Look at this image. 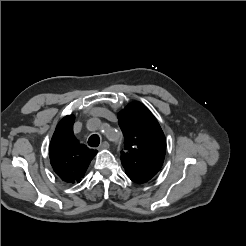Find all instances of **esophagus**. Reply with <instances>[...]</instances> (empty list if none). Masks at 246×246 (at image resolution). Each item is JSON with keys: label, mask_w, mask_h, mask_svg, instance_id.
<instances>
[{"label": "esophagus", "mask_w": 246, "mask_h": 246, "mask_svg": "<svg viewBox=\"0 0 246 246\" xmlns=\"http://www.w3.org/2000/svg\"><path fill=\"white\" fill-rule=\"evenodd\" d=\"M110 144L107 141H104L100 144L99 149H108Z\"/></svg>", "instance_id": "34e87169"}]
</instances>
